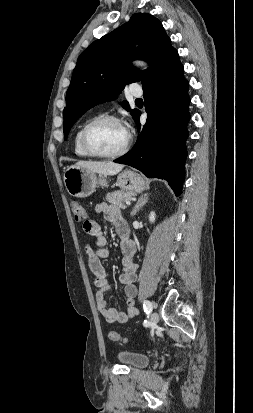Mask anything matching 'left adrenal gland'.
I'll return each instance as SVG.
<instances>
[{
  "label": "left adrenal gland",
  "mask_w": 253,
  "mask_h": 413,
  "mask_svg": "<svg viewBox=\"0 0 253 413\" xmlns=\"http://www.w3.org/2000/svg\"><path fill=\"white\" fill-rule=\"evenodd\" d=\"M148 199H149L148 193L141 195L136 205L134 206L133 210L131 211V216H135L136 213L148 202Z\"/></svg>",
  "instance_id": "left-adrenal-gland-1"
}]
</instances>
